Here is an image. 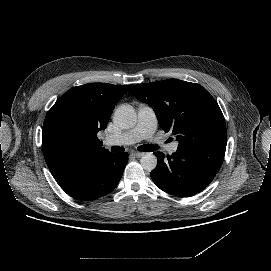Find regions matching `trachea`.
Returning a JSON list of instances; mask_svg holds the SVG:
<instances>
[{
    "instance_id": "3493384b",
    "label": "trachea",
    "mask_w": 271,
    "mask_h": 271,
    "mask_svg": "<svg viewBox=\"0 0 271 271\" xmlns=\"http://www.w3.org/2000/svg\"><path fill=\"white\" fill-rule=\"evenodd\" d=\"M157 149H158L157 145H149V144L142 145V146L138 147V150L142 151V152H151V151H155ZM111 151L112 152H123L124 151V147L112 146L111 147Z\"/></svg>"
}]
</instances>
